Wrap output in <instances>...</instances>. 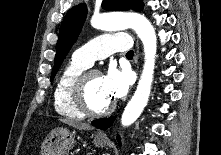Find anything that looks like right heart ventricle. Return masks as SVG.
Returning a JSON list of instances; mask_svg holds the SVG:
<instances>
[{
    "label": "right heart ventricle",
    "instance_id": "obj_1",
    "mask_svg": "<svg viewBox=\"0 0 221 155\" xmlns=\"http://www.w3.org/2000/svg\"><path fill=\"white\" fill-rule=\"evenodd\" d=\"M88 67L72 59L57 78L53 93L55 110L62 116L82 119L84 115L73 105L70 90L76 77Z\"/></svg>",
    "mask_w": 221,
    "mask_h": 155
}]
</instances>
